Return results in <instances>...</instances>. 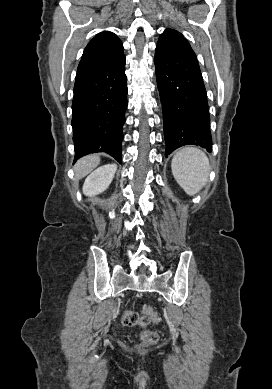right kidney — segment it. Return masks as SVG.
Returning a JSON list of instances; mask_svg holds the SVG:
<instances>
[{"instance_id":"1","label":"right kidney","mask_w":272,"mask_h":389,"mask_svg":"<svg viewBox=\"0 0 272 389\" xmlns=\"http://www.w3.org/2000/svg\"><path fill=\"white\" fill-rule=\"evenodd\" d=\"M117 166L107 164L97 168L85 180L83 185V193L86 196H95L104 192L111 184Z\"/></svg>"}]
</instances>
